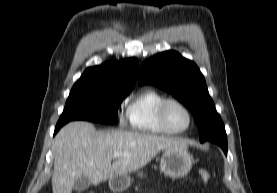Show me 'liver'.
I'll return each instance as SVG.
<instances>
[{
	"instance_id": "1",
	"label": "liver",
	"mask_w": 277,
	"mask_h": 193,
	"mask_svg": "<svg viewBox=\"0 0 277 193\" xmlns=\"http://www.w3.org/2000/svg\"><path fill=\"white\" fill-rule=\"evenodd\" d=\"M179 146L187 144L178 138L141 132H98L88 122H71L54 139L53 193H71L81 176L97 185L114 175H127L144 167L161 150ZM115 152L130 156H120L112 163Z\"/></svg>"
}]
</instances>
